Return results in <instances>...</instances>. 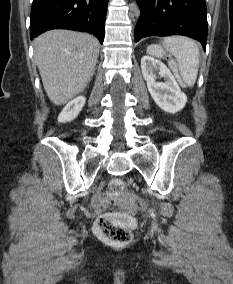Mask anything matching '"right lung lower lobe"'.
I'll return each mask as SVG.
<instances>
[{
  "label": "right lung lower lobe",
  "instance_id": "98d812e1",
  "mask_svg": "<svg viewBox=\"0 0 233 284\" xmlns=\"http://www.w3.org/2000/svg\"><path fill=\"white\" fill-rule=\"evenodd\" d=\"M108 0H34L30 36L56 28L93 33L104 40Z\"/></svg>",
  "mask_w": 233,
  "mask_h": 284
}]
</instances>
